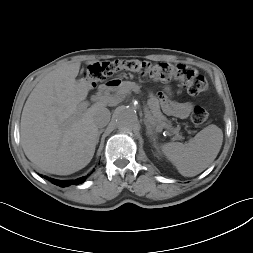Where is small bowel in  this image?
Segmentation results:
<instances>
[{
    "instance_id": "obj_1",
    "label": "small bowel",
    "mask_w": 253,
    "mask_h": 253,
    "mask_svg": "<svg viewBox=\"0 0 253 253\" xmlns=\"http://www.w3.org/2000/svg\"><path fill=\"white\" fill-rule=\"evenodd\" d=\"M171 92L168 87L160 92L158 99L165 112L178 118H186L193 109V104L190 102L177 103L171 100Z\"/></svg>"
}]
</instances>
